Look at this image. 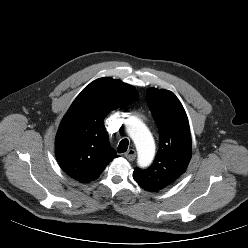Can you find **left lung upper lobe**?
I'll return each instance as SVG.
<instances>
[{
	"label": "left lung upper lobe",
	"mask_w": 248,
	"mask_h": 248,
	"mask_svg": "<svg viewBox=\"0 0 248 248\" xmlns=\"http://www.w3.org/2000/svg\"><path fill=\"white\" fill-rule=\"evenodd\" d=\"M147 100L159 130L160 148L153 164L147 169L136 167L133 178L144 190L155 192L170 186L185 173L192 144L186 112L172 92L151 88Z\"/></svg>",
	"instance_id": "1"
}]
</instances>
